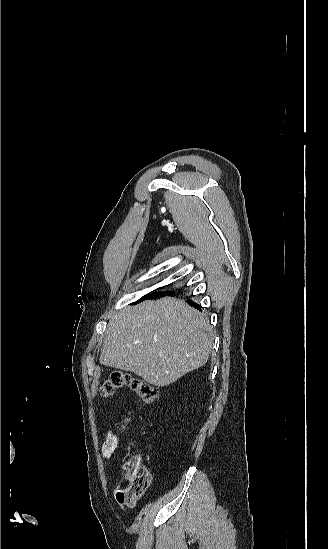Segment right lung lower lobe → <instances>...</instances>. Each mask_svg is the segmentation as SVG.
<instances>
[{"label":"right lung lower lobe","instance_id":"right-lung-lower-lobe-1","mask_svg":"<svg viewBox=\"0 0 328 549\" xmlns=\"http://www.w3.org/2000/svg\"><path fill=\"white\" fill-rule=\"evenodd\" d=\"M187 302H188L189 304L193 305L194 307L199 308V305L196 304V303H194L192 300H187Z\"/></svg>","mask_w":328,"mask_h":549}]
</instances>
